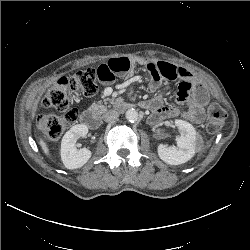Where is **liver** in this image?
Returning a JSON list of instances; mask_svg holds the SVG:
<instances>
[{
	"instance_id": "liver-1",
	"label": "liver",
	"mask_w": 250,
	"mask_h": 250,
	"mask_svg": "<svg viewBox=\"0 0 250 250\" xmlns=\"http://www.w3.org/2000/svg\"><path fill=\"white\" fill-rule=\"evenodd\" d=\"M39 144H40L42 150L44 151V153L48 156L49 155V148H48L47 144L44 142V140L40 139Z\"/></svg>"
}]
</instances>
